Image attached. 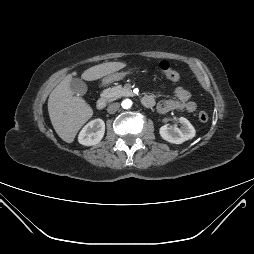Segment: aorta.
Masks as SVG:
<instances>
[{
    "instance_id": "aorta-1",
    "label": "aorta",
    "mask_w": 254,
    "mask_h": 254,
    "mask_svg": "<svg viewBox=\"0 0 254 254\" xmlns=\"http://www.w3.org/2000/svg\"><path fill=\"white\" fill-rule=\"evenodd\" d=\"M132 106V101L130 99H125L122 101V107L124 109H129Z\"/></svg>"
}]
</instances>
